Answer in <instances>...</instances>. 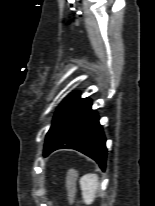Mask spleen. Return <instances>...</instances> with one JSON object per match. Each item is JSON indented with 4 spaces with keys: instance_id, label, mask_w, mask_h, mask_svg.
Returning <instances> with one entry per match:
<instances>
[{
    "instance_id": "3e777b00",
    "label": "spleen",
    "mask_w": 155,
    "mask_h": 206,
    "mask_svg": "<svg viewBox=\"0 0 155 206\" xmlns=\"http://www.w3.org/2000/svg\"><path fill=\"white\" fill-rule=\"evenodd\" d=\"M83 201L86 205L94 202L96 192L99 187V178L96 174H85L80 178Z\"/></svg>"
}]
</instances>
